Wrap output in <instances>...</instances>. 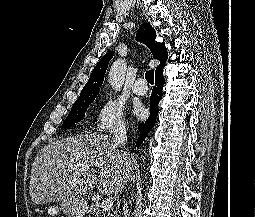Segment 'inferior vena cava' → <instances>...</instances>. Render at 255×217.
<instances>
[{
	"mask_svg": "<svg viewBox=\"0 0 255 217\" xmlns=\"http://www.w3.org/2000/svg\"><path fill=\"white\" fill-rule=\"evenodd\" d=\"M113 146L115 148L123 146L127 142V132L121 128L117 130L112 137ZM124 208L127 209V203L124 204Z\"/></svg>",
	"mask_w": 255,
	"mask_h": 217,
	"instance_id": "602c4592",
	"label": "inferior vena cava"
}]
</instances>
